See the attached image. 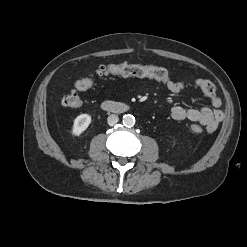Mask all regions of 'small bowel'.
Instances as JSON below:
<instances>
[{"instance_id":"small-bowel-1","label":"small bowel","mask_w":247,"mask_h":247,"mask_svg":"<svg viewBox=\"0 0 247 247\" xmlns=\"http://www.w3.org/2000/svg\"><path fill=\"white\" fill-rule=\"evenodd\" d=\"M163 84L172 93H179L187 86V81L184 79L173 81H163ZM193 85L201 90V92L209 98L213 109L207 106L200 108H186L183 106H174L171 109V117L175 120H189L191 122L199 123L204 126L207 132L212 133L217 128L224 118V112L221 109V99L216 94L215 85L206 79H195Z\"/></svg>"}]
</instances>
